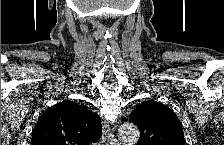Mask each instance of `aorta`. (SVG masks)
<instances>
[{
    "instance_id": "obj_1",
    "label": "aorta",
    "mask_w": 224,
    "mask_h": 145,
    "mask_svg": "<svg viewBox=\"0 0 224 145\" xmlns=\"http://www.w3.org/2000/svg\"><path fill=\"white\" fill-rule=\"evenodd\" d=\"M119 139L126 145H134L140 137V132L133 123H125L118 130Z\"/></svg>"
}]
</instances>
